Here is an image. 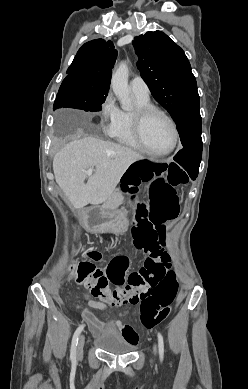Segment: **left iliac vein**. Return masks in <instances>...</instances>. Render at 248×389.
<instances>
[{
	"instance_id": "4c4485c4",
	"label": "left iliac vein",
	"mask_w": 248,
	"mask_h": 389,
	"mask_svg": "<svg viewBox=\"0 0 248 389\" xmlns=\"http://www.w3.org/2000/svg\"><path fill=\"white\" fill-rule=\"evenodd\" d=\"M153 352H154L155 356L158 353V349H157V345L156 344H154V346H153Z\"/></svg>"
}]
</instances>
